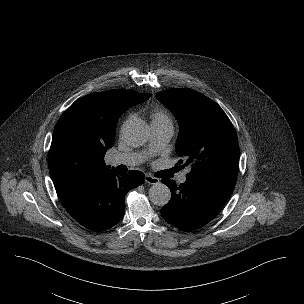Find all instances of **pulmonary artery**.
<instances>
[{
    "mask_svg": "<svg viewBox=\"0 0 304 304\" xmlns=\"http://www.w3.org/2000/svg\"><path fill=\"white\" fill-rule=\"evenodd\" d=\"M173 135L172 125H157L151 124V138L148 146V150L144 152L135 153H122L115 155L111 158L112 165H126L135 166L144 162L149 155L155 154L161 151L165 145L169 142ZM186 172L182 173L178 181L179 183H185L187 180Z\"/></svg>",
    "mask_w": 304,
    "mask_h": 304,
    "instance_id": "1",
    "label": "pulmonary artery"
}]
</instances>
